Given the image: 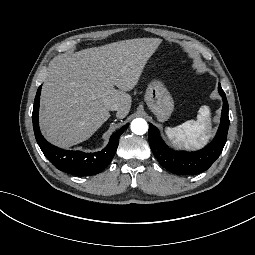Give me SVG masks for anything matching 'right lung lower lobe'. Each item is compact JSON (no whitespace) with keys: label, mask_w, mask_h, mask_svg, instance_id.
<instances>
[{"label":"right lung lower lobe","mask_w":255,"mask_h":255,"mask_svg":"<svg viewBox=\"0 0 255 255\" xmlns=\"http://www.w3.org/2000/svg\"><path fill=\"white\" fill-rule=\"evenodd\" d=\"M41 86L38 88L32 114L34 134L42 152L47 159L59 170L77 176H90L100 173L114 157L120 135L127 129L129 124L124 125L111 137L108 145L95 153H83L81 151L63 150L51 145L41 135L38 123L39 101Z\"/></svg>","instance_id":"obj_1"}]
</instances>
